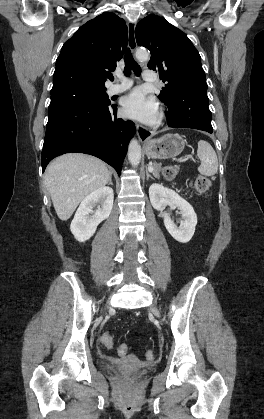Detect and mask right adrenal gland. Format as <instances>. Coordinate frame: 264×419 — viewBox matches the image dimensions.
<instances>
[{"mask_svg":"<svg viewBox=\"0 0 264 419\" xmlns=\"http://www.w3.org/2000/svg\"><path fill=\"white\" fill-rule=\"evenodd\" d=\"M108 184H109V185H113L111 178H110V180H109Z\"/></svg>","mask_w":264,"mask_h":419,"instance_id":"obj_1","label":"right adrenal gland"}]
</instances>
